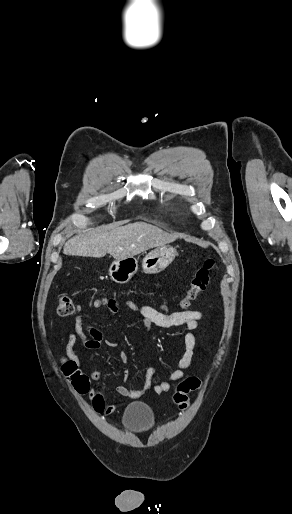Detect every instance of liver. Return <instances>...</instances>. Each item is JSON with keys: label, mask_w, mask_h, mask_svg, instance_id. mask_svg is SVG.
<instances>
[{"label": "liver", "mask_w": 292, "mask_h": 514, "mask_svg": "<svg viewBox=\"0 0 292 514\" xmlns=\"http://www.w3.org/2000/svg\"><path fill=\"white\" fill-rule=\"evenodd\" d=\"M176 238V234H166L160 228L145 222L127 224L111 232H107L106 226H99L94 232L70 238L64 246L63 254L90 258H103L106 254H111L115 260H124L151 248L174 242Z\"/></svg>", "instance_id": "1"}]
</instances>
